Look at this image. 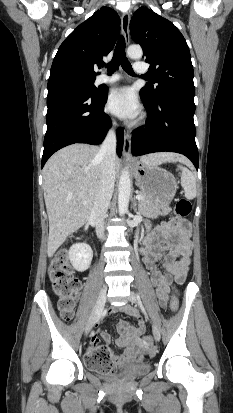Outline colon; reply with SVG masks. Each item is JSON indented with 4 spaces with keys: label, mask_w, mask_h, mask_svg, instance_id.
<instances>
[{
    "label": "colon",
    "mask_w": 233,
    "mask_h": 413,
    "mask_svg": "<svg viewBox=\"0 0 233 413\" xmlns=\"http://www.w3.org/2000/svg\"><path fill=\"white\" fill-rule=\"evenodd\" d=\"M176 214L180 218L187 217L192 211V204L188 199L181 198L176 204ZM49 277L53 290L58 298V308L61 317L69 321L73 317L77 296L80 288L78 279L74 276L66 253H59L50 262ZM170 308L173 312L178 309V299L175 295L171 297ZM146 349L152 345L150 336L143 339ZM88 365L98 371L114 372V355L109 349L102 348L92 356L86 358Z\"/></svg>",
    "instance_id": "5ec220e1"
}]
</instances>
